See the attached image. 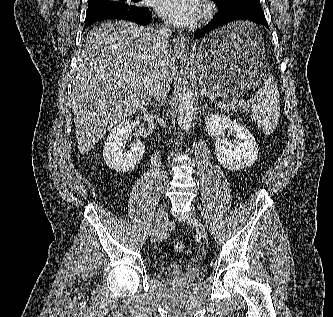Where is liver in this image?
<instances>
[{
  "label": "liver",
  "instance_id": "obj_1",
  "mask_svg": "<svg viewBox=\"0 0 333 317\" xmlns=\"http://www.w3.org/2000/svg\"><path fill=\"white\" fill-rule=\"evenodd\" d=\"M162 60L171 82L177 71L172 50L159 51L153 29L132 22L103 23L86 35L71 95L81 154L148 105Z\"/></svg>",
  "mask_w": 333,
  "mask_h": 317
}]
</instances>
